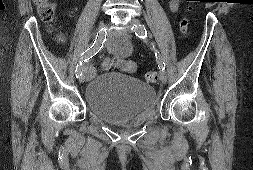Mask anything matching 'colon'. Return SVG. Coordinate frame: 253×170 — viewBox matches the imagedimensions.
Instances as JSON below:
<instances>
[{"mask_svg":"<svg viewBox=\"0 0 253 170\" xmlns=\"http://www.w3.org/2000/svg\"><path fill=\"white\" fill-rule=\"evenodd\" d=\"M194 1V0H188ZM34 4L37 6L38 13L43 21L50 22L55 15L56 6L50 0H33ZM191 8L188 7L187 10L189 11ZM189 27V18L184 16L180 20L179 29L182 34H187ZM145 78L148 82L156 83L158 80V73L156 71H148L145 74Z\"/></svg>","mask_w":253,"mask_h":170,"instance_id":"5ec220e1","label":"colon"}]
</instances>
